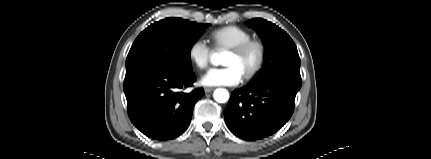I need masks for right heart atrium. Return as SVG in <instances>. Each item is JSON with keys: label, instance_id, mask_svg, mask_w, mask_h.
Returning <instances> with one entry per match:
<instances>
[{"label": "right heart atrium", "instance_id": "d8ad5b80", "mask_svg": "<svg viewBox=\"0 0 431 159\" xmlns=\"http://www.w3.org/2000/svg\"><path fill=\"white\" fill-rule=\"evenodd\" d=\"M187 53L190 61L196 67L204 69L209 64L212 49L206 40L197 38L189 45Z\"/></svg>", "mask_w": 431, "mask_h": 159}]
</instances>
